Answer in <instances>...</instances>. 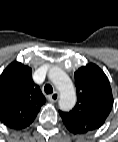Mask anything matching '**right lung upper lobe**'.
I'll list each match as a JSON object with an SVG mask.
<instances>
[{
    "label": "right lung upper lobe",
    "instance_id": "1",
    "mask_svg": "<svg viewBox=\"0 0 118 142\" xmlns=\"http://www.w3.org/2000/svg\"><path fill=\"white\" fill-rule=\"evenodd\" d=\"M31 74V68L15 61L0 75V121L9 128L28 127L46 102Z\"/></svg>",
    "mask_w": 118,
    "mask_h": 142
}]
</instances>
